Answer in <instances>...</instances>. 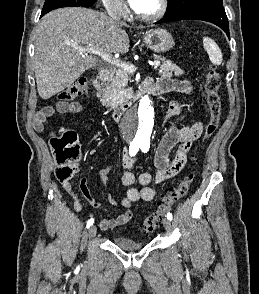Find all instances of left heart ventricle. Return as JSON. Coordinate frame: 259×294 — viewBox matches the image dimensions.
I'll list each match as a JSON object with an SVG mask.
<instances>
[{"label":"left heart ventricle","mask_w":259,"mask_h":294,"mask_svg":"<svg viewBox=\"0 0 259 294\" xmlns=\"http://www.w3.org/2000/svg\"><path fill=\"white\" fill-rule=\"evenodd\" d=\"M159 6L160 0H142L136 11L142 15H150L155 13L159 9Z\"/></svg>","instance_id":"left-heart-ventricle-1"}]
</instances>
